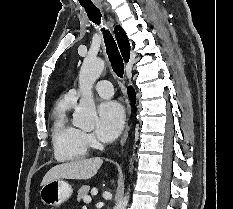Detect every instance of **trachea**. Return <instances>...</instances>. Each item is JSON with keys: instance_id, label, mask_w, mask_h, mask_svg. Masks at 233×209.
Wrapping results in <instances>:
<instances>
[{"instance_id": "trachea-1", "label": "trachea", "mask_w": 233, "mask_h": 209, "mask_svg": "<svg viewBox=\"0 0 233 209\" xmlns=\"http://www.w3.org/2000/svg\"><path fill=\"white\" fill-rule=\"evenodd\" d=\"M89 19L95 24L99 25L101 20L100 10L96 6H83ZM104 43L106 46V52L110 59L112 69L114 73L119 77L123 78L124 75V63L117 44L108 30H103Z\"/></svg>"}]
</instances>
